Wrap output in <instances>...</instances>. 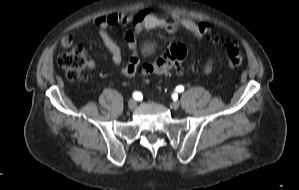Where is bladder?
Instances as JSON below:
<instances>
[{"label": "bladder", "instance_id": "bladder-1", "mask_svg": "<svg viewBox=\"0 0 299 190\" xmlns=\"http://www.w3.org/2000/svg\"><path fill=\"white\" fill-rule=\"evenodd\" d=\"M151 49H152V45H151L150 43H146V44L144 45V47L142 48V53H143L144 55H148V54H150Z\"/></svg>", "mask_w": 299, "mask_h": 190}]
</instances>
